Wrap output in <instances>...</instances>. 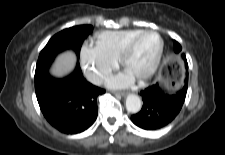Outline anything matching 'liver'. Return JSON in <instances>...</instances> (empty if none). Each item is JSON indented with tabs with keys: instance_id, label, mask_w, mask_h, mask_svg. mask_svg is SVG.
Segmentation results:
<instances>
[{
	"instance_id": "liver-1",
	"label": "liver",
	"mask_w": 225,
	"mask_h": 155,
	"mask_svg": "<svg viewBox=\"0 0 225 155\" xmlns=\"http://www.w3.org/2000/svg\"><path fill=\"white\" fill-rule=\"evenodd\" d=\"M75 63V54L72 51L64 52L57 57L52 66L51 73L56 77H63L73 70Z\"/></svg>"
}]
</instances>
